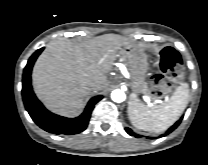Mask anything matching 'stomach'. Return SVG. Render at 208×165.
<instances>
[{"mask_svg":"<svg viewBox=\"0 0 208 165\" xmlns=\"http://www.w3.org/2000/svg\"><path fill=\"white\" fill-rule=\"evenodd\" d=\"M123 61L129 65L130 86L133 95L145 94L148 92L145 74L148 70L147 56L137 47H123L121 50Z\"/></svg>","mask_w":208,"mask_h":165,"instance_id":"0dacf381","label":"stomach"}]
</instances>
